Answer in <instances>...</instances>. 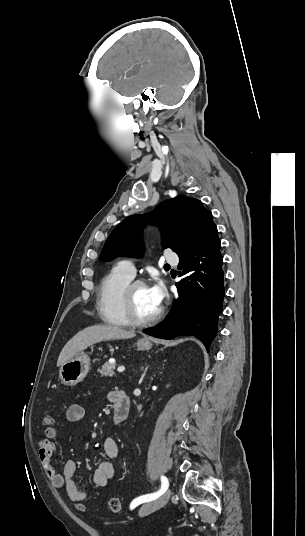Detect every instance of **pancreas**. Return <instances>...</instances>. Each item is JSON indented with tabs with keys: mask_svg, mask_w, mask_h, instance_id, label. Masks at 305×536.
Here are the masks:
<instances>
[{
	"mask_svg": "<svg viewBox=\"0 0 305 536\" xmlns=\"http://www.w3.org/2000/svg\"><path fill=\"white\" fill-rule=\"evenodd\" d=\"M115 366L116 364H110V362H106L104 366H101L100 370H98L99 374H101V378H103V376H105V378H112L115 374V372H113Z\"/></svg>",
	"mask_w": 305,
	"mask_h": 536,
	"instance_id": "pancreas-1",
	"label": "pancreas"
}]
</instances>
